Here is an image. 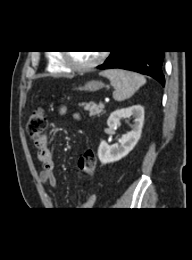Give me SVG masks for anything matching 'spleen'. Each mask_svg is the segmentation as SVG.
Here are the masks:
<instances>
[{"label":"spleen","instance_id":"1","mask_svg":"<svg viewBox=\"0 0 192 260\" xmlns=\"http://www.w3.org/2000/svg\"><path fill=\"white\" fill-rule=\"evenodd\" d=\"M100 75L110 80L115 91L113 98L116 101H124L130 98L134 93L146 83L144 76L122 69H109L100 72Z\"/></svg>","mask_w":192,"mask_h":260}]
</instances>
